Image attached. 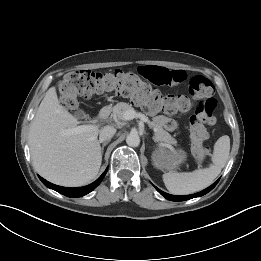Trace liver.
<instances>
[{
  "label": "liver",
  "instance_id": "obj_1",
  "mask_svg": "<svg viewBox=\"0 0 261 261\" xmlns=\"http://www.w3.org/2000/svg\"><path fill=\"white\" fill-rule=\"evenodd\" d=\"M78 123L60 105L55 87L49 88L31 122L28 141L35 170L54 184L83 186L99 172L102 162L99 129L65 134V130Z\"/></svg>",
  "mask_w": 261,
  "mask_h": 261
}]
</instances>
